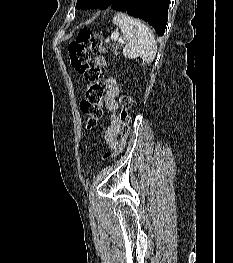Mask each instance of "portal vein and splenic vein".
<instances>
[{
    "label": "portal vein and splenic vein",
    "instance_id": "portal-vein-and-splenic-vein-1",
    "mask_svg": "<svg viewBox=\"0 0 233 263\" xmlns=\"http://www.w3.org/2000/svg\"><path fill=\"white\" fill-rule=\"evenodd\" d=\"M111 39L115 41H122V39L119 37V33H113L111 35Z\"/></svg>",
    "mask_w": 233,
    "mask_h": 263
}]
</instances>
